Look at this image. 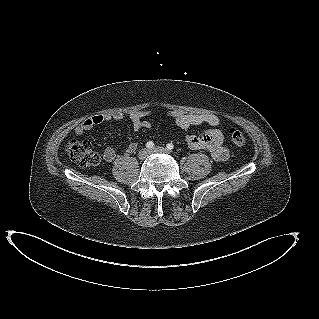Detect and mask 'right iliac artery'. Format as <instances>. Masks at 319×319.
<instances>
[{
	"label": "right iliac artery",
	"instance_id": "1",
	"mask_svg": "<svg viewBox=\"0 0 319 319\" xmlns=\"http://www.w3.org/2000/svg\"><path fill=\"white\" fill-rule=\"evenodd\" d=\"M146 147L148 149H152L154 147V143L152 141H149V142L146 143Z\"/></svg>",
	"mask_w": 319,
	"mask_h": 319
}]
</instances>
